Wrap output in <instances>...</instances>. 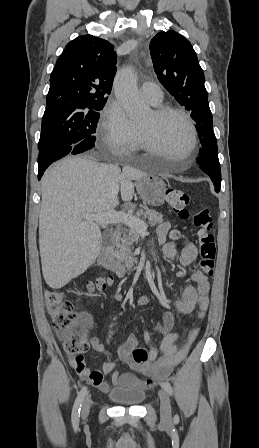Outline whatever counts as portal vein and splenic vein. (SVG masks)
<instances>
[{"label":"portal vein and splenic vein","instance_id":"18ae733b","mask_svg":"<svg viewBox=\"0 0 259 448\" xmlns=\"http://www.w3.org/2000/svg\"><path fill=\"white\" fill-rule=\"evenodd\" d=\"M80 218L83 220H93L97 224H126L132 230H137L141 234L147 232V224L140 220V218H135L132 214H125V212H115V210H109L105 214H81Z\"/></svg>","mask_w":259,"mask_h":448}]
</instances>
